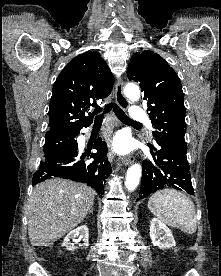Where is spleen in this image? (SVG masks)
I'll use <instances>...</instances> for the list:
<instances>
[{"instance_id": "spleen-1", "label": "spleen", "mask_w": 221, "mask_h": 276, "mask_svg": "<svg viewBox=\"0 0 221 276\" xmlns=\"http://www.w3.org/2000/svg\"><path fill=\"white\" fill-rule=\"evenodd\" d=\"M151 213L171 227L193 234L197 229L195 206L182 192L163 189L154 193L149 201Z\"/></svg>"}]
</instances>
